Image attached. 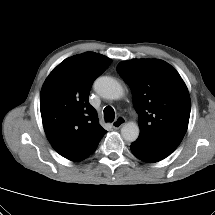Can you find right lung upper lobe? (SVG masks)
Instances as JSON below:
<instances>
[{"instance_id": "cb5924a9", "label": "right lung upper lobe", "mask_w": 215, "mask_h": 215, "mask_svg": "<svg viewBox=\"0 0 215 215\" xmlns=\"http://www.w3.org/2000/svg\"><path fill=\"white\" fill-rule=\"evenodd\" d=\"M111 62L94 52L78 54L62 61L43 84L40 110L45 133L55 151L71 161L90 156L107 132L88 98L93 81Z\"/></svg>"}]
</instances>
